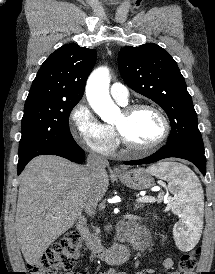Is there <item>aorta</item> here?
I'll return each instance as SVG.
<instances>
[{
	"mask_svg": "<svg viewBox=\"0 0 215 274\" xmlns=\"http://www.w3.org/2000/svg\"><path fill=\"white\" fill-rule=\"evenodd\" d=\"M109 70L100 67L92 72L86 85V97L92 109L103 121H111L119 116L120 109L109 95Z\"/></svg>",
	"mask_w": 215,
	"mask_h": 274,
	"instance_id": "obj_1",
	"label": "aorta"
}]
</instances>
